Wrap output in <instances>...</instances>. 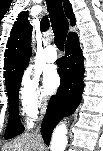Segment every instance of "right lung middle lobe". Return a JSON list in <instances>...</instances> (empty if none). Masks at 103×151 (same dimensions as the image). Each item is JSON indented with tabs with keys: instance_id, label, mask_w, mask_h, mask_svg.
Wrapping results in <instances>:
<instances>
[{
	"instance_id": "right-lung-middle-lobe-1",
	"label": "right lung middle lobe",
	"mask_w": 103,
	"mask_h": 151,
	"mask_svg": "<svg viewBox=\"0 0 103 151\" xmlns=\"http://www.w3.org/2000/svg\"><path fill=\"white\" fill-rule=\"evenodd\" d=\"M21 77L6 86L9 99V121L5 131V138L10 139L24 130L19 118L18 91L20 87Z\"/></svg>"
}]
</instances>
